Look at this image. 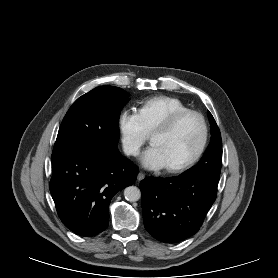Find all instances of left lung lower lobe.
Returning a JSON list of instances; mask_svg holds the SVG:
<instances>
[{"label":"left lung lower lobe","instance_id":"obj_1","mask_svg":"<svg viewBox=\"0 0 278 278\" xmlns=\"http://www.w3.org/2000/svg\"><path fill=\"white\" fill-rule=\"evenodd\" d=\"M218 181L180 175L140 182L145 229L165 243L182 241L201 227L216 199Z\"/></svg>","mask_w":278,"mask_h":278}]
</instances>
